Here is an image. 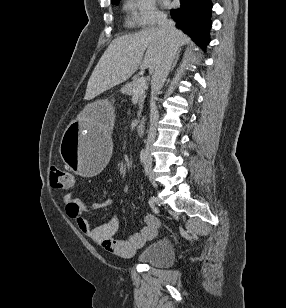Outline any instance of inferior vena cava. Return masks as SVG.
<instances>
[{"label": "inferior vena cava", "instance_id": "602c4592", "mask_svg": "<svg viewBox=\"0 0 286 308\" xmlns=\"http://www.w3.org/2000/svg\"><path fill=\"white\" fill-rule=\"evenodd\" d=\"M158 28L165 33V48L152 74V98L150 102V127L147 136V149L152 146V143L156 138L157 123L159 119V113L155 102L157 100L156 95L160 93V90L167 79L178 50V44L176 42L177 30L174 21L169 20L165 15H162L158 18Z\"/></svg>", "mask_w": 286, "mask_h": 308}]
</instances>
